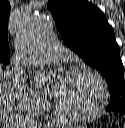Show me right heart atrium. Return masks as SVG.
Wrapping results in <instances>:
<instances>
[{
    "instance_id": "1",
    "label": "right heart atrium",
    "mask_w": 125,
    "mask_h": 128,
    "mask_svg": "<svg viewBox=\"0 0 125 128\" xmlns=\"http://www.w3.org/2000/svg\"><path fill=\"white\" fill-rule=\"evenodd\" d=\"M12 88L17 105L21 110L29 114H37L46 107L45 99L29 88L20 75H13Z\"/></svg>"
}]
</instances>
